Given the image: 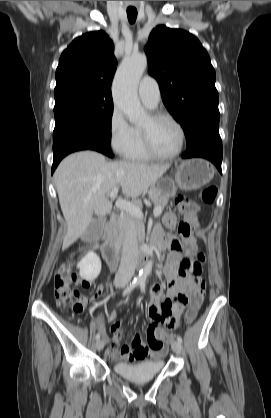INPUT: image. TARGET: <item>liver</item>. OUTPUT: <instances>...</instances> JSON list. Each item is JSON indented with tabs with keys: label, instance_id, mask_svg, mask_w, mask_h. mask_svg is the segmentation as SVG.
<instances>
[{
	"label": "liver",
	"instance_id": "obj_1",
	"mask_svg": "<svg viewBox=\"0 0 271 418\" xmlns=\"http://www.w3.org/2000/svg\"><path fill=\"white\" fill-rule=\"evenodd\" d=\"M170 164L149 165L135 161L108 162L102 154L82 151L71 154L54 173L60 207L67 223L63 249L89 227L93 215L105 216L112 209L107 194L121 187L125 198H137L169 169Z\"/></svg>",
	"mask_w": 271,
	"mask_h": 418
}]
</instances>
